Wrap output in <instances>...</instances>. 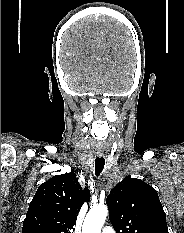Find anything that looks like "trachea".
Wrapping results in <instances>:
<instances>
[{"mask_svg": "<svg viewBox=\"0 0 184 233\" xmlns=\"http://www.w3.org/2000/svg\"><path fill=\"white\" fill-rule=\"evenodd\" d=\"M105 159L103 156L96 157L95 159V174L98 176L103 171Z\"/></svg>", "mask_w": 184, "mask_h": 233, "instance_id": "obj_1", "label": "trachea"}]
</instances>
